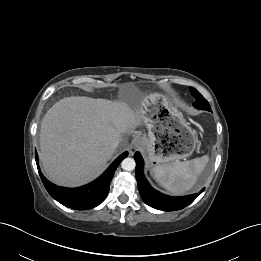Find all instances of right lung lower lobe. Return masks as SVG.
Returning a JSON list of instances; mask_svg holds the SVG:
<instances>
[{
	"mask_svg": "<svg viewBox=\"0 0 261 261\" xmlns=\"http://www.w3.org/2000/svg\"><path fill=\"white\" fill-rule=\"evenodd\" d=\"M127 155V152L120 155L98 179L90 184L78 188H64L50 183L42 175L39 169L37 152L35 154V159L39 175L48 193L66 207L77 210H86L98 206L105 200L110 189L109 186L114 172L120 162L126 158Z\"/></svg>",
	"mask_w": 261,
	"mask_h": 261,
	"instance_id": "98d812e1",
	"label": "right lung lower lobe"
}]
</instances>
